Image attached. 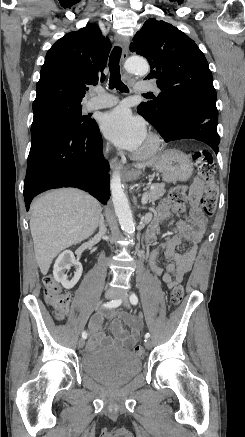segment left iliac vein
<instances>
[{"label":"left iliac vein","instance_id":"left-iliac-vein-1","mask_svg":"<svg viewBox=\"0 0 245 437\" xmlns=\"http://www.w3.org/2000/svg\"><path fill=\"white\" fill-rule=\"evenodd\" d=\"M117 298H120L122 301H123V305L125 306V307H129V302H128V295H127V293H121V294H118V296H117ZM145 346H146V348H151V346H152V343H151V341H149V340H147L146 342H145Z\"/></svg>","mask_w":245,"mask_h":437}]
</instances>
